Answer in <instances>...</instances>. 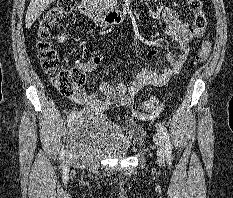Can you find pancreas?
<instances>
[{"instance_id": "pancreas-1", "label": "pancreas", "mask_w": 233, "mask_h": 198, "mask_svg": "<svg viewBox=\"0 0 233 198\" xmlns=\"http://www.w3.org/2000/svg\"><path fill=\"white\" fill-rule=\"evenodd\" d=\"M91 1L107 9H113L117 7V0H91Z\"/></svg>"}]
</instances>
